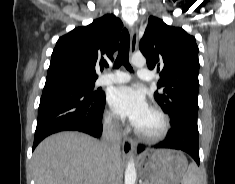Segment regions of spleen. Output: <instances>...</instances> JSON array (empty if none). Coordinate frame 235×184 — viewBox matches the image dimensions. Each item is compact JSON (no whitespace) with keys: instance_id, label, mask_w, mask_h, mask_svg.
Returning <instances> with one entry per match:
<instances>
[{"instance_id":"obj_1","label":"spleen","mask_w":235,"mask_h":184,"mask_svg":"<svg viewBox=\"0 0 235 184\" xmlns=\"http://www.w3.org/2000/svg\"><path fill=\"white\" fill-rule=\"evenodd\" d=\"M181 184H199L198 168L196 164H190Z\"/></svg>"}]
</instances>
